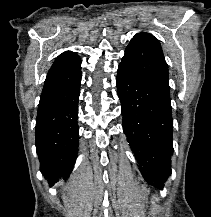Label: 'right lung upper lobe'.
Here are the masks:
<instances>
[{"instance_id":"cb5924a9","label":"right lung upper lobe","mask_w":211,"mask_h":217,"mask_svg":"<svg viewBox=\"0 0 211 217\" xmlns=\"http://www.w3.org/2000/svg\"><path fill=\"white\" fill-rule=\"evenodd\" d=\"M81 72V60L75 52L60 54L51 66L42 93L72 82Z\"/></svg>"}]
</instances>
